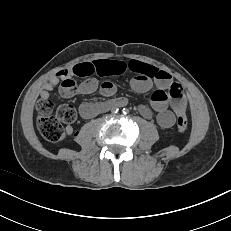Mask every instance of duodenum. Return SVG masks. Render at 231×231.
I'll use <instances>...</instances> for the list:
<instances>
[{
    "label": "duodenum",
    "mask_w": 231,
    "mask_h": 231,
    "mask_svg": "<svg viewBox=\"0 0 231 231\" xmlns=\"http://www.w3.org/2000/svg\"><path fill=\"white\" fill-rule=\"evenodd\" d=\"M116 105V103L115 102H113V101H109L107 104H106V106L107 107H113V106H115Z\"/></svg>",
    "instance_id": "obj_1"
}]
</instances>
